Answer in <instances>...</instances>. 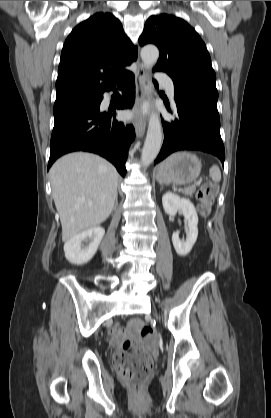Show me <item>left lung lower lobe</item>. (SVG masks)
<instances>
[{
    "label": "left lung lower lobe",
    "instance_id": "0a47b994",
    "mask_svg": "<svg viewBox=\"0 0 271 418\" xmlns=\"http://www.w3.org/2000/svg\"><path fill=\"white\" fill-rule=\"evenodd\" d=\"M174 89L176 117L170 121L162 120L164 142L154 164L176 151L197 150L217 156L224 165L218 96L183 85H174Z\"/></svg>",
    "mask_w": 271,
    "mask_h": 418
}]
</instances>
